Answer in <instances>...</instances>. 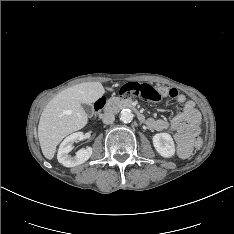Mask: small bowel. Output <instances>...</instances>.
Here are the masks:
<instances>
[{"label":"small bowel","mask_w":234,"mask_h":234,"mask_svg":"<svg viewBox=\"0 0 234 234\" xmlns=\"http://www.w3.org/2000/svg\"><path fill=\"white\" fill-rule=\"evenodd\" d=\"M169 92L170 95L168 96L183 104V108L176 111L171 121L149 118L146 124L153 130L172 132L177 144L178 154L186 157L190 154L194 138L200 133L201 115L193 101L187 100L183 94H180L174 88L170 89Z\"/></svg>","instance_id":"obj_1"}]
</instances>
